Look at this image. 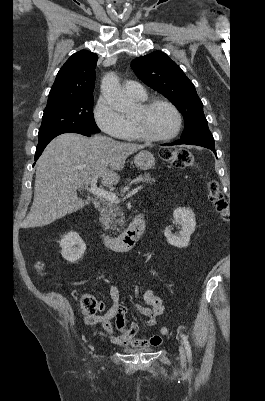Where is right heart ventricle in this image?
<instances>
[{"instance_id":"right-heart-ventricle-1","label":"right heart ventricle","mask_w":265,"mask_h":401,"mask_svg":"<svg viewBox=\"0 0 265 401\" xmlns=\"http://www.w3.org/2000/svg\"><path fill=\"white\" fill-rule=\"evenodd\" d=\"M136 101L138 102H145L147 100V95H143V96H134L131 95ZM126 123H127V130L126 132L118 137L120 140H134V139H138L140 138L136 129H135V125H134V118H126L125 119Z\"/></svg>"}]
</instances>
